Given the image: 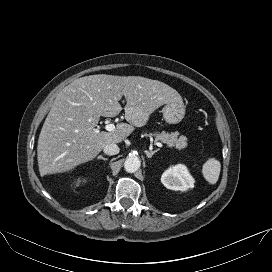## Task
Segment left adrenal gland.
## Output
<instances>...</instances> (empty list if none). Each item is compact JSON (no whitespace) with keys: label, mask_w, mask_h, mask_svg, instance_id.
<instances>
[{"label":"left adrenal gland","mask_w":272,"mask_h":272,"mask_svg":"<svg viewBox=\"0 0 272 272\" xmlns=\"http://www.w3.org/2000/svg\"><path fill=\"white\" fill-rule=\"evenodd\" d=\"M159 151V149H156V150H154V151H150V152H148V151H145V153H146V156L148 157V158H151L156 152H158Z\"/></svg>","instance_id":"left-adrenal-gland-1"}]
</instances>
